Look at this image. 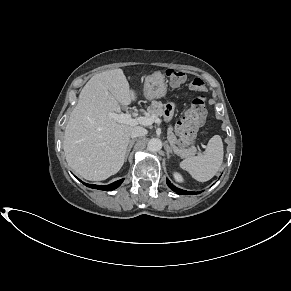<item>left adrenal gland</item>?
<instances>
[{"label": "left adrenal gland", "instance_id": "left-adrenal-gland-1", "mask_svg": "<svg viewBox=\"0 0 291 291\" xmlns=\"http://www.w3.org/2000/svg\"><path fill=\"white\" fill-rule=\"evenodd\" d=\"M176 153L174 150H173V147L172 146H169L168 144H166V153H167V157L168 159L170 158V153L173 154ZM177 154V153H176Z\"/></svg>", "mask_w": 291, "mask_h": 291}]
</instances>
